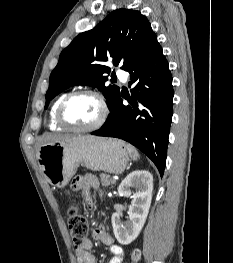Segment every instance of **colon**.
<instances>
[{
    "label": "colon",
    "mask_w": 233,
    "mask_h": 263,
    "mask_svg": "<svg viewBox=\"0 0 233 263\" xmlns=\"http://www.w3.org/2000/svg\"><path fill=\"white\" fill-rule=\"evenodd\" d=\"M67 223L73 243L80 246L87 240L88 223L85 217L75 207H69L67 210ZM141 258V252L135 249L131 254L132 263H138Z\"/></svg>",
    "instance_id": "1"
}]
</instances>
